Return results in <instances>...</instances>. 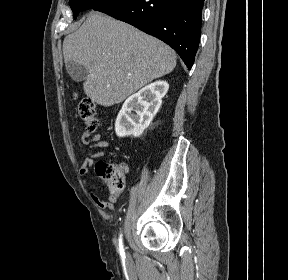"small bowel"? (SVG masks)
I'll return each mask as SVG.
<instances>
[{"label":"small bowel","mask_w":288,"mask_h":280,"mask_svg":"<svg viewBox=\"0 0 288 280\" xmlns=\"http://www.w3.org/2000/svg\"><path fill=\"white\" fill-rule=\"evenodd\" d=\"M91 134V132L85 131L79 139V146L81 148H89V155L83 161L79 169V173L82 176L88 174L90 168L94 165L95 159L105 156V152L103 150L109 146V143L106 140H103L99 133H95L92 136ZM121 167L124 174L128 172V166L126 164H121ZM84 184L89 186L90 197L98 208L102 210H110L113 208V203L116 202L118 196L109 195L108 199L103 201L98 197L94 187L91 184H89L87 181H84Z\"/></svg>","instance_id":"1"}]
</instances>
